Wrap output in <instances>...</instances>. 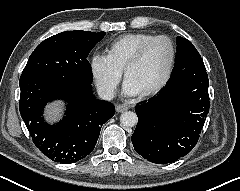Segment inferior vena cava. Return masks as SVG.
Listing matches in <instances>:
<instances>
[{
	"instance_id": "1",
	"label": "inferior vena cava",
	"mask_w": 240,
	"mask_h": 191,
	"mask_svg": "<svg viewBox=\"0 0 240 191\" xmlns=\"http://www.w3.org/2000/svg\"><path fill=\"white\" fill-rule=\"evenodd\" d=\"M99 97L102 100H112L115 97V92L112 88H99L97 90Z\"/></svg>"
}]
</instances>
